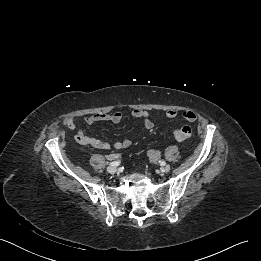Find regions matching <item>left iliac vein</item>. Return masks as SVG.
I'll use <instances>...</instances> for the list:
<instances>
[{"label":"left iliac vein","mask_w":261,"mask_h":261,"mask_svg":"<svg viewBox=\"0 0 261 261\" xmlns=\"http://www.w3.org/2000/svg\"><path fill=\"white\" fill-rule=\"evenodd\" d=\"M169 171H170V165L165 164V165H163V166L161 167V172L167 173V172H169Z\"/></svg>","instance_id":"1"}]
</instances>
